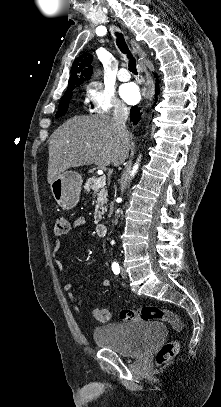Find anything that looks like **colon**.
Masks as SVG:
<instances>
[{"mask_svg": "<svg viewBox=\"0 0 221 407\" xmlns=\"http://www.w3.org/2000/svg\"><path fill=\"white\" fill-rule=\"evenodd\" d=\"M69 230V223L67 218L58 217L56 221L55 233L56 235H64ZM93 317L100 322H107L111 318V311L108 309H94L92 311ZM120 318L123 321L130 322L134 320L143 321H162L169 323L176 332H181L183 323L181 319L172 311L159 308L157 306H144L137 310H122ZM178 352V342L175 340L169 341L162 345L156 353V364L163 367L168 364Z\"/></svg>", "mask_w": 221, "mask_h": 407, "instance_id": "colon-1", "label": "colon"}]
</instances>
